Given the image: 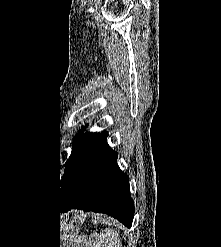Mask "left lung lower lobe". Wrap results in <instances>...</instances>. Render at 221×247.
Wrapping results in <instances>:
<instances>
[{
	"label": "left lung lower lobe",
	"instance_id": "obj_1",
	"mask_svg": "<svg viewBox=\"0 0 221 247\" xmlns=\"http://www.w3.org/2000/svg\"><path fill=\"white\" fill-rule=\"evenodd\" d=\"M101 133L88 149L75 176L59 192L64 209L106 213L130 228L134 204L130 195L129 177L117 165V153Z\"/></svg>",
	"mask_w": 221,
	"mask_h": 247
}]
</instances>
